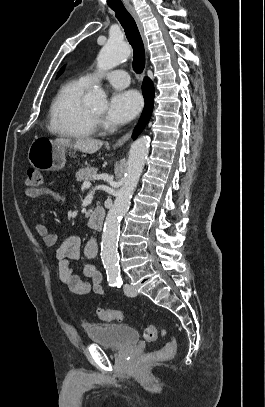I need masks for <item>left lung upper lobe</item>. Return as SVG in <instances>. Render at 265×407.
<instances>
[{"label":"left lung upper lobe","mask_w":265,"mask_h":407,"mask_svg":"<svg viewBox=\"0 0 265 407\" xmlns=\"http://www.w3.org/2000/svg\"><path fill=\"white\" fill-rule=\"evenodd\" d=\"M61 72H62V71H60V72L58 73V75H60V74H61Z\"/></svg>","instance_id":"left-lung-upper-lobe-1"}]
</instances>
